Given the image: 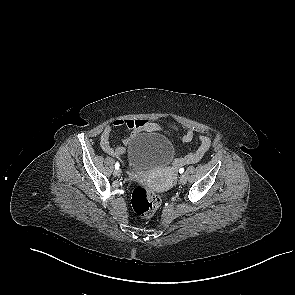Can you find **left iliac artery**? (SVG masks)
Masks as SVG:
<instances>
[{
    "instance_id": "1",
    "label": "left iliac artery",
    "mask_w": 295,
    "mask_h": 295,
    "mask_svg": "<svg viewBox=\"0 0 295 295\" xmlns=\"http://www.w3.org/2000/svg\"><path fill=\"white\" fill-rule=\"evenodd\" d=\"M183 172H184V168H180L179 173H183Z\"/></svg>"
}]
</instances>
